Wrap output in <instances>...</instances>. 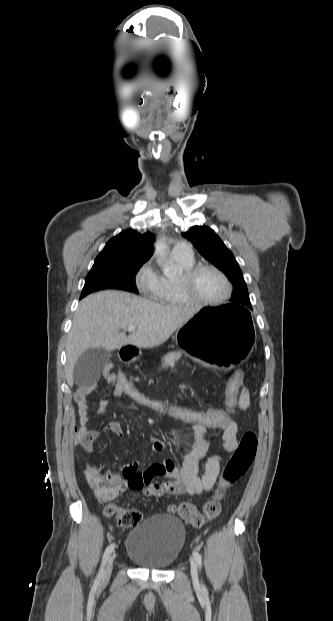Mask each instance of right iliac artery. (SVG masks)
I'll use <instances>...</instances> for the list:
<instances>
[{
  "mask_svg": "<svg viewBox=\"0 0 333 621\" xmlns=\"http://www.w3.org/2000/svg\"><path fill=\"white\" fill-rule=\"evenodd\" d=\"M114 546H115L114 544H110L105 549V552H104L103 558H102V563H101V566H100V570H99V573H98V576H97V581H101V579L103 578L106 563H107V561H108V559H109V557H110V555H111V553H112V551L114 549Z\"/></svg>",
  "mask_w": 333,
  "mask_h": 621,
  "instance_id": "82829eb1",
  "label": "right iliac artery"
}]
</instances>
